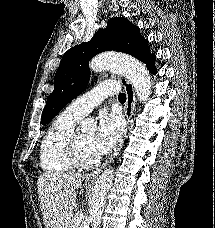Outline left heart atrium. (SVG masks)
<instances>
[{
	"instance_id": "1",
	"label": "left heart atrium",
	"mask_w": 215,
	"mask_h": 228,
	"mask_svg": "<svg viewBox=\"0 0 215 228\" xmlns=\"http://www.w3.org/2000/svg\"><path fill=\"white\" fill-rule=\"evenodd\" d=\"M123 131L122 120L115 113L103 112L92 141L95 154L99 157L108 152L120 139Z\"/></svg>"
}]
</instances>
